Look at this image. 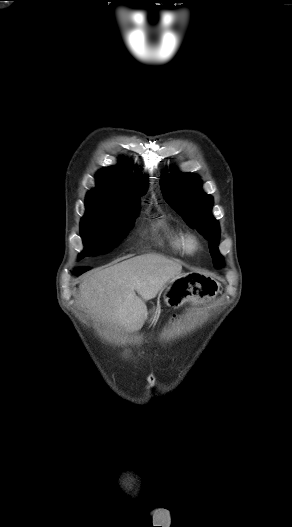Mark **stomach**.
I'll return each mask as SVG.
<instances>
[{"label": "stomach", "instance_id": "stomach-1", "mask_svg": "<svg viewBox=\"0 0 292 527\" xmlns=\"http://www.w3.org/2000/svg\"><path fill=\"white\" fill-rule=\"evenodd\" d=\"M219 283L207 276L197 273H187L176 277L166 286L164 299L168 306L180 307L188 300L203 301L217 295ZM160 306L151 311V320L158 319Z\"/></svg>", "mask_w": 292, "mask_h": 527}]
</instances>
